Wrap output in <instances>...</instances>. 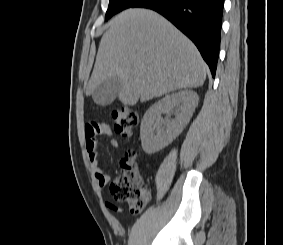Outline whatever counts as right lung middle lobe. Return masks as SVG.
Segmentation results:
<instances>
[{"label":"right lung middle lobe","instance_id":"dd1d6c3e","mask_svg":"<svg viewBox=\"0 0 283 245\" xmlns=\"http://www.w3.org/2000/svg\"><path fill=\"white\" fill-rule=\"evenodd\" d=\"M140 0H110L109 7L105 15V20H108L114 14L135 5Z\"/></svg>","mask_w":283,"mask_h":245}]
</instances>
